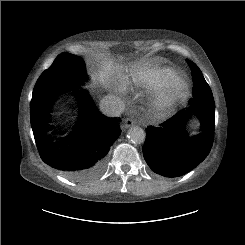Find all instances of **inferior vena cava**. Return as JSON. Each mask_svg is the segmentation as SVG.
I'll return each instance as SVG.
<instances>
[{
    "mask_svg": "<svg viewBox=\"0 0 245 245\" xmlns=\"http://www.w3.org/2000/svg\"><path fill=\"white\" fill-rule=\"evenodd\" d=\"M125 108L124 102L116 96L108 95L100 101V110L109 117H119Z\"/></svg>",
    "mask_w": 245,
    "mask_h": 245,
    "instance_id": "602c4592",
    "label": "inferior vena cava"
}]
</instances>
